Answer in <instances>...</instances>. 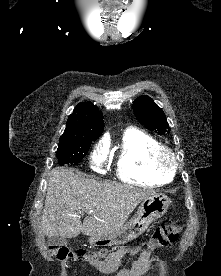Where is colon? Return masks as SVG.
<instances>
[{"instance_id":"colon-1","label":"colon","mask_w":221,"mask_h":276,"mask_svg":"<svg viewBox=\"0 0 221 276\" xmlns=\"http://www.w3.org/2000/svg\"><path fill=\"white\" fill-rule=\"evenodd\" d=\"M180 226L175 220L162 221L153 231L145 247L155 249L169 246L179 238ZM49 250L53 257L59 261L88 262L92 263L104 257V253L86 252L85 250H71L67 247L50 246Z\"/></svg>"}]
</instances>
